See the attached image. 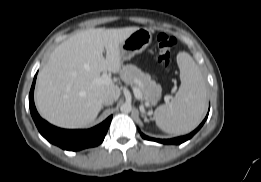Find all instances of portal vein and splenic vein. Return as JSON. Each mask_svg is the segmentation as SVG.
<instances>
[{
  "label": "portal vein and splenic vein",
  "mask_w": 261,
  "mask_h": 182,
  "mask_svg": "<svg viewBox=\"0 0 261 182\" xmlns=\"http://www.w3.org/2000/svg\"><path fill=\"white\" fill-rule=\"evenodd\" d=\"M95 82L97 84L108 85V84L112 83V79H111L110 75H108L107 73H103L101 77H99L95 80ZM133 92L137 99H139V100L143 99V95H142L141 89L139 87H134ZM146 105L148 106L149 104L147 103Z\"/></svg>",
  "instance_id": "obj_1"
}]
</instances>
